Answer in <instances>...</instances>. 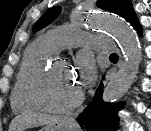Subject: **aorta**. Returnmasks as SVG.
<instances>
[{"label":"aorta","instance_id":"1","mask_svg":"<svg viewBox=\"0 0 151 131\" xmlns=\"http://www.w3.org/2000/svg\"><path fill=\"white\" fill-rule=\"evenodd\" d=\"M90 27L112 34L124 55V63L103 92L104 102L120 99L131 87L142 59L137 37L131 26L122 18L110 14H97L88 22Z\"/></svg>","mask_w":151,"mask_h":131}]
</instances>
